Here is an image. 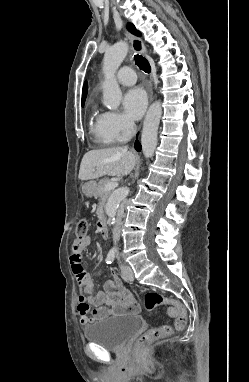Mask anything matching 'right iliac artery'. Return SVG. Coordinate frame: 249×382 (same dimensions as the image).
Returning <instances> with one entry per match:
<instances>
[{
	"label": "right iliac artery",
	"instance_id": "1",
	"mask_svg": "<svg viewBox=\"0 0 249 382\" xmlns=\"http://www.w3.org/2000/svg\"><path fill=\"white\" fill-rule=\"evenodd\" d=\"M114 258H115V251L110 250L108 255H107V258H106V263L111 264L113 262Z\"/></svg>",
	"mask_w": 249,
	"mask_h": 382
}]
</instances>
